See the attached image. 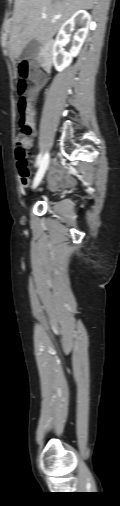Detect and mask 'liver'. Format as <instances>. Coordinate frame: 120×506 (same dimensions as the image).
I'll return each instance as SVG.
<instances>
[{"label":"liver","mask_w":120,"mask_h":506,"mask_svg":"<svg viewBox=\"0 0 120 506\" xmlns=\"http://www.w3.org/2000/svg\"><path fill=\"white\" fill-rule=\"evenodd\" d=\"M93 5L94 0H15L9 40L12 57L18 58L33 39L45 44L75 12Z\"/></svg>","instance_id":"1"}]
</instances>
